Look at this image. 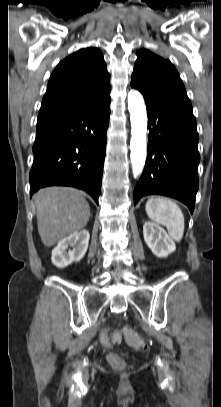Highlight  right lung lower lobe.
Listing matches in <instances>:
<instances>
[{
    "label": "right lung lower lobe",
    "instance_id": "right-lung-lower-lobe-1",
    "mask_svg": "<svg viewBox=\"0 0 221 407\" xmlns=\"http://www.w3.org/2000/svg\"><path fill=\"white\" fill-rule=\"evenodd\" d=\"M110 101L109 95L88 107L38 120L30 196L46 186H72L98 203Z\"/></svg>",
    "mask_w": 221,
    "mask_h": 407
}]
</instances>
